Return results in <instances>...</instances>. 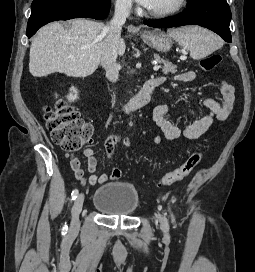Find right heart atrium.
<instances>
[{"instance_id": "obj_1", "label": "right heart atrium", "mask_w": 255, "mask_h": 272, "mask_svg": "<svg viewBox=\"0 0 255 272\" xmlns=\"http://www.w3.org/2000/svg\"><path fill=\"white\" fill-rule=\"evenodd\" d=\"M117 9L128 12L132 7L131 0H115Z\"/></svg>"}]
</instances>
